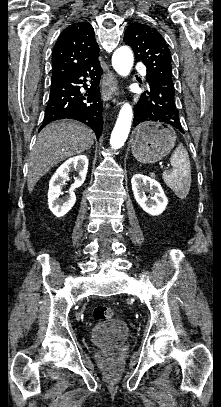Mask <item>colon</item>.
Here are the masks:
<instances>
[{
    "instance_id": "obj_1",
    "label": "colon",
    "mask_w": 221,
    "mask_h": 407,
    "mask_svg": "<svg viewBox=\"0 0 221 407\" xmlns=\"http://www.w3.org/2000/svg\"><path fill=\"white\" fill-rule=\"evenodd\" d=\"M93 317L98 322L111 320L114 318V311L108 306H96L93 310Z\"/></svg>"
}]
</instances>
